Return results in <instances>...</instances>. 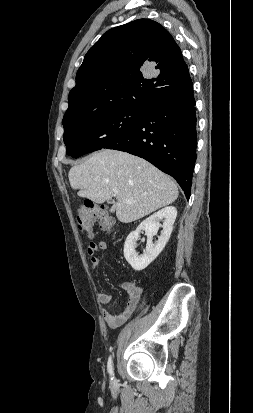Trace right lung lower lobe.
<instances>
[{"instance_id":"obj_1","label":"right lung lower lobe","mask_w":253,"mask_h":413,"mask_svg":"<svg viewBox=\"0 0 253 413\" xmlns=\"http://www.w3.org/2000/svg\"><path fill=\"white\" fill-rule=\"evenodd\" d=\"M196 126L191 82L181 92L145 106L138 125L106 148L146 159L171 175L189 199L196 161Z\"/></svg>"}]
</instances>
